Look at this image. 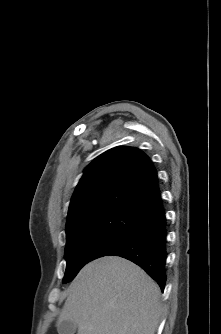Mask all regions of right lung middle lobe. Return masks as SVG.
Segmentation results:
<instances>
[{
    "mask_svg": "<svg viewBox=\"0 0 221 334\" xmlns=\"http://www.w3.org/2000/svg\"><path fill=\"white\" fill-rule=\"evenodd\" d=\"M141 215L110 212L82 220L66 233L63 283L71 281L86 263L106 256L136 226Z\"/></svg>",
    "mask_w": 221,
    "mask_h": 334,
    "instance_id": "right-lung-middle-lobe-1",
    "label": "right lung middle lobe"
}]
</instances>
